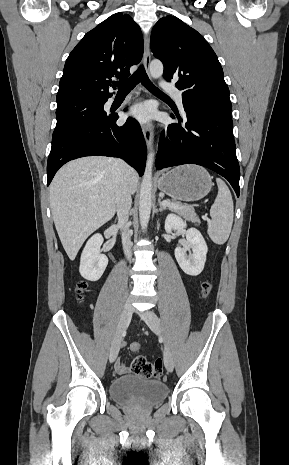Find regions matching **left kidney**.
Masks as SVG:
<instances>
[{
    "label": "left kidney",
    "instance_id": "5707ae66",
    "mask_svg": "<svg viewBox=\"0 0 289 465\" xmlns=\"http://www.w3.org/2000/svg\"><path fill=\"white\" fill-rule=\"evenodd\" d=\"M186 227V222L179 216L172 213L167 215L165 231L171 233L173 230H183L188 242V245L184 248H175V258L184 273L197 276L204 269L208 247L199 230L196 228L185 230ZM188 249L192 250L191 254H187Z\"/></svg>",
    "mask_w": 289,
    "mask_h": 465
}]
</instances>
